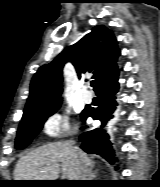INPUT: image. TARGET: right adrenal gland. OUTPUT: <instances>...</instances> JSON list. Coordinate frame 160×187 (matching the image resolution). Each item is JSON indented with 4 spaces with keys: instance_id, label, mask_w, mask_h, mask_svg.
I'll return each mask as SVG.
<instances>
[{
    "instance_id": "1",
    "label": "right adrenal gland",
    "mask_w": 160,
    "mask_h": 187,
    "mask_svg": "<svg viewBox=\"0 0 160 187\" xmlns=\"http://www.w3.org/2000/svg\"><path fill=\"white\" fill-rule=\"evenodd\" d=\"M93 167H94V165H92L91 168L88 170L90 180H94V178L96 177V174H97V171H93Z\"/></svg>"
}]
</instances>
